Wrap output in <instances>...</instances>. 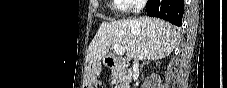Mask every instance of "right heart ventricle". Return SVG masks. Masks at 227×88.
<instances>
[{
	"instance_id": "right-heart-ventricle-1",
	"label": "right heart ventricle",
	"mask_w": 227,
	"mask_h": 88,
	"mask_svg": "<svg viewBox=\"0 0 227 88\" xmlns=\"http://www.w3.org/2000/svg\"><path fill=\"white\" fill-rule=\"evenodd\" d=\"M114 8L116 10H122L123 9V5H122L120 0H114Z\"/></svg>"
}]
</instances>
